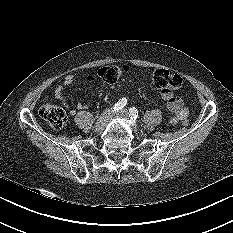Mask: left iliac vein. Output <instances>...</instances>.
I'll use <instances>...</instances> for the list:
<instances>
[{"label":"left iliac vein","mask_w":233,"mask_h":233,"mask_svg":"<svg viewBox=\"0 0 233 233\" xmlns=\"http://www.w3.org/2000/svg\"><path fill=\"white\" fill-rule=\"evenodd\" d=\"M116 117L122 118V119H128V112L126 110H121L115 114ZM134 133L138 134L137 128L132 129Z\"/></svg>","instance_id":"left-iliac-vein-1"}]
</instances>
